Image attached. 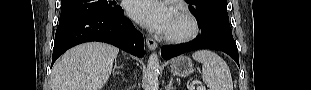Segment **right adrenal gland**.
<instances>
[{"label": "right adrenal gland", "mask_w": 311, "mask_h": 90, "mask_svg": "<svg viewBox=\"0 0 311 90\" xmlns=\"http://www.w3.org/2000/svg\"><path fill=\"white\" fill-rule=\"evenodd\" d=\"M122 68V66H118L117 65V61L115 60V65H114V68H113V72L115 71V69H120Z\"/></svg>", "instance_id": "1"}]
</instances>
